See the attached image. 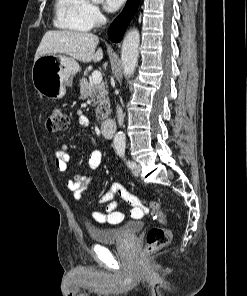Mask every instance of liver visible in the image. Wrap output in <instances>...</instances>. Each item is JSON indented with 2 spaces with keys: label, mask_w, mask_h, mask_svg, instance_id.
Wrapping results in <instances>:
<instances>
[{
  "label": "liver",
  "mask_w": 247,
  "mask_h": 296,
  "mask_svg": "<svg viewBox=\"0 0 247 296\" xmlns=\"http://www.w3.org/2000/svg\"><path fill=\"white\" fill-rule=\"evenodd\" d=\"M98 43L99 38L92 33L68 30L47 31L37 48L34 61L43 55L59 53L84 63L99 62L103 58V51L99 48L95 52Z\"/></svg>",
  "instance_id": "obj_1"
}]
</instances>
